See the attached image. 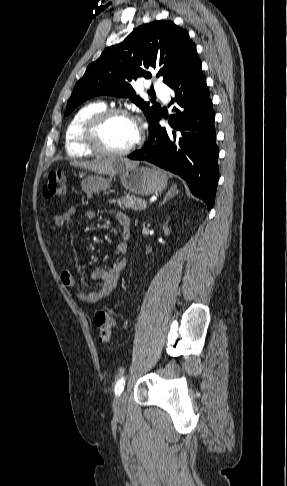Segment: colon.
<instances>
[{
    "instance_id": "1",
    "label": "colon",
    "mask_w": 287,
    "mask_h": 486,
    "mask_svg": "<svg viewBox=\"0 0 287 486\" xmlns=\"http://www.w3.org/2000/svg\"><path fill=\"white\" fill-rule=\"evenodd\" d=\"M65 176L61 171H52L48 174L43 188L46 198L62 195L65 192ZM97 336L100 343H108L111 340L115 327V318L106 308H100L95 314Z\"/></svg>"
}]
</instances>
